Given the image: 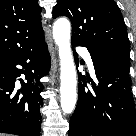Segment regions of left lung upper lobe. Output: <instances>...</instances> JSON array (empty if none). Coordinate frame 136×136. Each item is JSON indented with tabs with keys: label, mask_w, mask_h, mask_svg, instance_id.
<instances>
[{
	"label": "left lung upper lobe",
	"mask_w": 136,
	"mask_h": 136,
	"mask_svg": "<svg viewBox=\"0 0 136 136\" xmlns=\"http://www.w3.org/2000/svg\"><path fill=\"white\" fill-rule=\"evenodd\" d=\"M58 16L71 20L72 41L129 65L127 29L114 0H57L53 18Z\"/></svg>",
	"instance_id": "left-lung-upper-lobe-1"
}]
</instances>
